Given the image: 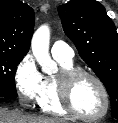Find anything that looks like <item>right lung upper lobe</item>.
Wrapping results in <instances>:
<instances>
[{
  "label": "right lung upper lobe",
  "mask_w": 118,
  "mask_h": 123,
  "mask_svg": "<svg viewBox=\"0 0 118 123\" xmlns=\"http://www.w3.org/2000/svg\"><path fill=\"white\" fill-rule=\"evenodd\" d=\"M35 16L20 0H0V52L25 56L30 48Z\"/></svg>",
  "instance_id": "right-lung-upper-lobe-1"
}]
</instances>
